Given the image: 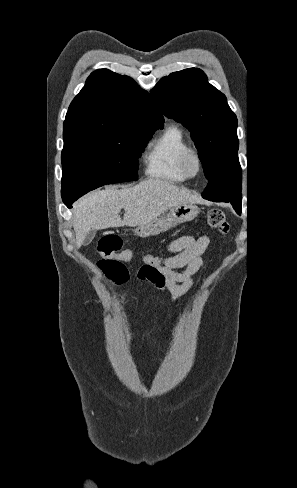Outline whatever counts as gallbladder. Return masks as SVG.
<instances>
[{
	"label": "gallbladder",
	"instance_id": "obj_1",
	"mask_svg": "<svg viewBox=\"0 0 297 488\" xmlns=\"http://www.w3.org/2000/svg\"><path fill=\"white\" fill-rule=\"evenodd\" d=\"M95 234H96V231L95 230H90L88 233H87V236L84 240V244L85 245H88L92 242L93 238L95 237Z\"/></svg>",
	"mask_w": 297,
	"mask_h": 488
}]
</instances>
